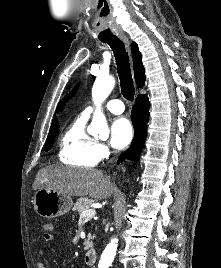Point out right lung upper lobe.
<instances>
[{"instance_id": "obj_1", "label": "right lung upper lobe", "mask_w": 221, "mask_h": 268, "mask_svg": "<svg viewBox=\"0 0 221 268\" xmlns=\"http://www.w3.org/2000/svg\"><path fill=\"white\" fill-rule=\"evenodd\" d=\"M131 51L133 54L135 81H136V84L138 87H142L144 85V82H145V70H144V66L142 64L141 53L139 52L138 46L135 42H132ZM77 88L78 87H75V89H73V91L70 95L71 97L74 96V94L77 91ZM57 126H58L57 118H56V116H54L52 124H51V128L57 127Z\"/></svg>"}]
</instances>
